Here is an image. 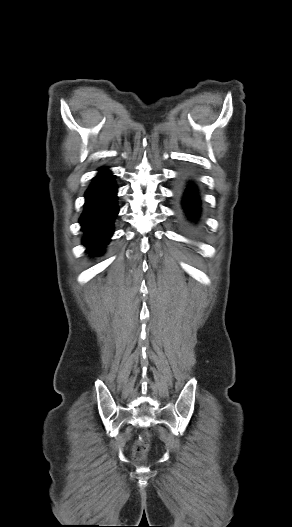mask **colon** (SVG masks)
<instances>
[{
  "label": "colon",
  "mask_w": 292,
  "mask_h": 527,
  "mask_svg": "<svg viewBox=\"0 0 292 527\" xmlns=\"http://www.w3.org/2000/svg\"><path fill=\"white\" fill-rule=\"evenodd\" d=\"M150 444V436L148 433L142 434L134 444L133 455L136 461L143 460Z\"/></svg>",
  "instance_id": "obj_1"
}]
</instances>
